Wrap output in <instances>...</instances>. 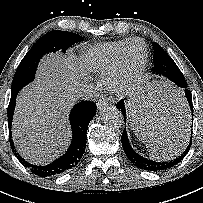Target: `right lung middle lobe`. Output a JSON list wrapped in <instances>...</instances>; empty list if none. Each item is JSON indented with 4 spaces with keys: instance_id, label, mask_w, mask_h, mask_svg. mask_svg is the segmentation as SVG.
<instances>
[{
    "instance_id": "1",
    "label": "right lung middle lobe",
    "mask_w": 203,
    "mask_h": 203,
    "mask_svg": "<svg viewBox=\"0 0 203 203\" xmlns=\"http://www.w3.org/2000/svg\"><path fill=\"white\" fill-rule=\"evenodd\" d=\"M81 41L83 38L80 35L58 30L42 36L22 59L12 82L11 94L17 95L34 79L38 62L44 54L58 50L65 52L71 45Z\"/></svg>"
}]
</instances>
